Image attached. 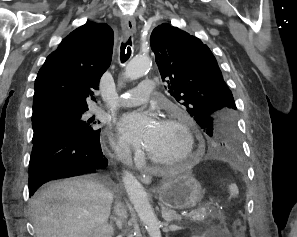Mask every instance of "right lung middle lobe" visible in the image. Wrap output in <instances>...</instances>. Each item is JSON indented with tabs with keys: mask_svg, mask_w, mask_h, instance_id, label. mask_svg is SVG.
Here are the masks:
<instances>
[{
	"mask_svg": "<svg viewBox=\"0 0 297 237\" xmlns=\"http://www.w3.org/2000/svg\"><path fill=\"white\" fill-rule=\"evenodd\" d=\"M95 123L94 118L85 119L84 112L59 111L50 113L32 120L33 139L45 130L61 128L83 140H95L100 134V129L95 130L92 127Z\"/></svg>",
	"mask_w": 297,
	"mask_h": 237,
	"instance_id": "1",
	"label": "right lung middle lobe"
}]
</instances>
